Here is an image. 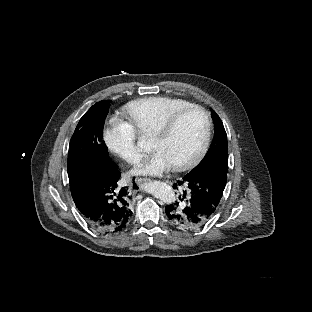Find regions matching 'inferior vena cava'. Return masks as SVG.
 <instances>
[{"mask_svg": "<svg viewBox=\"0 0 312 312\" xmlns=\"http://www.w3.org/2000/svg\"><path fill=\"white\" fill-rule=\"evenodd\" d=\"M134 159H137V162H140L141 157L138 155L137 157H134Z\"/></svg>", "mask_w": 312, "mask_h": 312, "instance_id": "602c4592", "label": "inferior vena cava"}]
</instances>
